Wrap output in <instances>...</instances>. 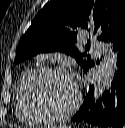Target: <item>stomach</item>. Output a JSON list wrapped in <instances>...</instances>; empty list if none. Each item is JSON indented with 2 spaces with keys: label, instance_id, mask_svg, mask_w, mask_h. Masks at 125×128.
I'll list each match as a JSON object with an SVG mask.
<instances>
[{
  "label": "stomach",
  "instance_id": "1",
  "mask_svg": "<svg viewBox=\"0 0 125 128\" xmlns=\"http://www.w3.org/2000/svg\"><path fill=\"white\" fill-rule=\"evenodd\" d=\"M62 128H70V127H62Z\"/></svg>",
  "mask_w": 125,
  "mask_h": 128
}]
</instances>
